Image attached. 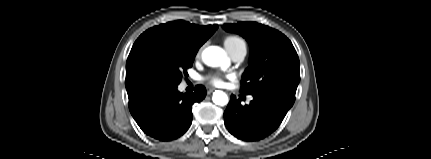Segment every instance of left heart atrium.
<instances>
[{"label":"left heart atrium","mask_w":431,"mask_h":159,"mask_svg":"<svg viewBox=\"0 0 431 159\" xmlns=\"http://www.w3.org/2000/svg\"><path fill=\"white\" fill-rule=\"evenodd\" d=\"M208 80L210 81V83L216 86H220L223 84V78L219 75H210L208 77Z\"/></svg>","instance_id":"left-heart-atrium-1"}]
</instances>
